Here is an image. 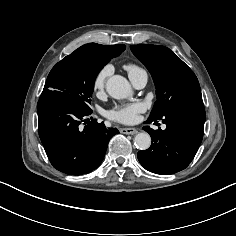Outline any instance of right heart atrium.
Segmentation results:
<instances>
[{
	"label": "right heart atrium",
	"mask_w": 236,
	"mask_h": 236,
	"mask_svg": "<svg viewBox=\"0 0 236 236\" xmlns=\"http://www.w3.org/2000/svg\"><path fill=\"white\" fill-rule=\"evenodd\" d=\"M112 71V65L105 64L96 72L92 81V88L95 92H101L104 90L107 79L112 74Z\"/></svg>",
	"instance_id": "d8ad5b80"
}]
</instances>
